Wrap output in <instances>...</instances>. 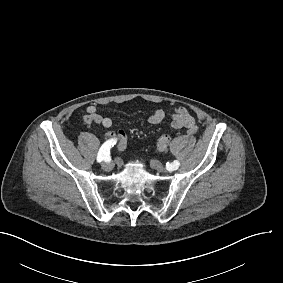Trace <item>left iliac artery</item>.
<instances>
[{"instance_id":"44dca946","label":"left iliac artery","mask_w":283,"mask_h":283,"mask_svg":"<svg viewBox=\"0 0 283 283\" xmlns=\"http://www.w3.org/2000/svg\"><path fill=\"white\" fill-rule=\"evenodd\" d=\"M180 163L177 160H174L172 163V168L177 169L179 167Z\"/></svg>"}]
</instances>
